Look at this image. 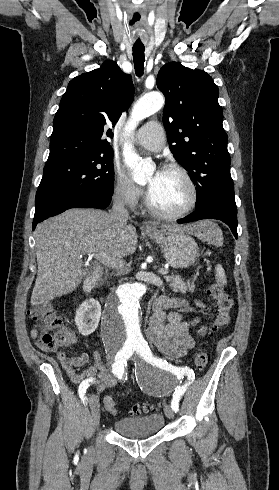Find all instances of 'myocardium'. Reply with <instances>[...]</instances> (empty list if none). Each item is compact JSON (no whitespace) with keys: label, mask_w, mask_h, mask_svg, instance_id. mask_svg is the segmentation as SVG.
<instances>
[{"label":"myocardium","mask_w":279,"mask_h":490,"mask_svg":"<svg viewBox=\"0 0 279 490\" xmlns=\"http://www.w3.org/2000/svg\"><path fill=\"white\" fill-rule=\"evenodd\" d=\"M166 171H173L177 174H179L186 182L189 192H190V197L188 201L183 205L182 208H180L177 211L169 212L162 210L158 208L152 201L150 195L147 197V207L149 211L156 217L165 219V220H175L178 218H181L188 214L197 204L198 201V190L196 187V184L189 174V172L182 167L181 165L177 163H170L164 166V169Z\"/></svg>","instance_id":"myocardium-1"}]
</instances>
